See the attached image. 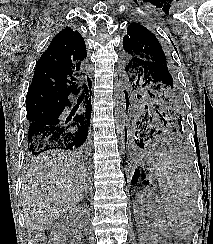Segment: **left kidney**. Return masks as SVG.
<instances>
[{
    "label": "left kidney",
    "mask_w": 213,
    "mask_h": 244,
    "mask_svg": "<svg viewBox=\"0 0 213 244\" xmlns=\"http://www.w3.org/2000/svg\"><path fill=\"white\" fill-rule=\"evenodd\" d=\"M145 209L150 210L149 215L145 214ZM134 213L142 244H172L160 202L152 192L143 190L137 194ZM146 217L152 218L154 224L149 225Z\"/></svg>",
    "instance_id": "obj_1"
}]
</instances>
